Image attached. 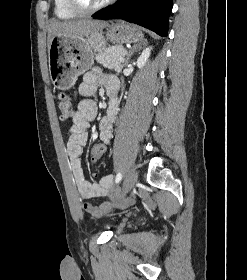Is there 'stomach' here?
Listing matches in <instances>:
<instances>
[{"label": "stomach", "mask_w": 247, "mask_h": 280, "mask_svg": "<svg viewBox=\"0 0 247 280\" xmlns=\"http://www.w3.org/2000/svg\"><path fill=\"white\" fill-rule=\"evenodd\" d=\"M105 28V33L100 30L86 37L52 38L49 47V72L54 86L60 90L73 87L78 76L93 65L94 54L105 49L107 41L123 44L143 39V33L137 27L123 21Z\"/></svg>", "instance_id": "stomach-1"}]
</instances>
